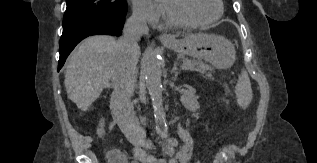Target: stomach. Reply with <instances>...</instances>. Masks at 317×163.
<instances>
[{
  "label": "stomach",
  "mask_w": 317,
  "mask_h": 163,
  "mask_svg": "<svg viewBox=\"0 0 317 163\" xmlns=\"http://www.w3.org/2000/svg\"><path fill=\"white\" fill-rule=\"evenodd\" d=\"M163 45L182 55L209 61L218 68H229L236 57L231 42L213 34H193Z\"/></svg>",
  "instance_id": "1"
}]
</instances>
